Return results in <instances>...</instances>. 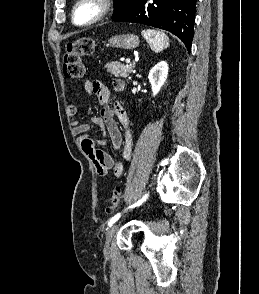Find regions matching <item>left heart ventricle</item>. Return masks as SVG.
I'll use <instances>...</instances> for the list:
<instances>
[{
	"label": "left heart ventricle",
	"mask_w": 259,
	"mask_h": 294,
	"mask_svg": "<svg viewBox=\"0 0 259 294\" xmlns=\"http://www.w3.org/2000/svg\"><path fill=\"white\" fill-rule=\"evenodd\" d=\"M99 12V5L94 1H87L83 3L76 14V21L78 23H85L93 19Z\"/></svg>",
	"instance_id": "1"
}]
</instances>
